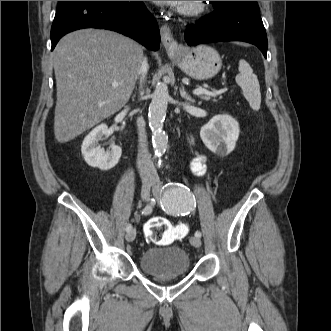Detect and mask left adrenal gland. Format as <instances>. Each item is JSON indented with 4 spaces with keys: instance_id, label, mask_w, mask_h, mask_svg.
I'll list each match as a JSON object with an SVG mask.
<instances>
[{
    "instance_id": "1",
    "label": "left adrenal gland",
    "mask_w": 331,
    "mask_h": 331,
    "mask_svg": "<svg viewBox=\"0 0 331 331\" xmlns=\"http://www.w3.org/2000/svg\"><path fill=\"white\" fill-rule=\"evenodd\" d=\"M180 95L182 98H184L185 100L187 101H190V102H195V100L186 93L185 89H184V86H182V88H180Z\"/></svg>"
}]
</instances>
